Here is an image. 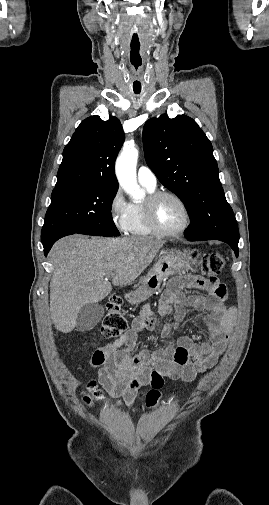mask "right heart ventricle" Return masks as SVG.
Returning <instances> with one entry per match:
<instances>
[{
    "instance_id": "1",
    "label": "right heart ventricle",
    "mask_w": 269,
    "mask_h": 505,
    "mask_svg": "<svg viewBox=\"0 0 269 505\" xmlns=\"http://www.w3.org/2000/svg\"><path fill=\"white\" fill-rule=\"evenodd\" d=\"M143 187L149 194L155 191V188H150L144 185ZM126 233L131 236L138 237H149L155 235L146 223L142 204H130L129 222Z\"/></svg>"
}]
</instances>
